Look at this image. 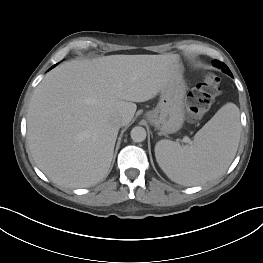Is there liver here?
Segmentation results:
<instances>
[{
	"instance_id": "6515ba94",
	"label": "liver",
	"mask_w": 263,
	"mask_h": 263,
	"mask_svg": "<svg viewBox=\"0 0 263 263\" xmlns=\"http://www.w3.org/2000/svg\"><path fill=\"white\" fill-rule=\"evenodd\" d=\"M176 54L110 55L72 60L36 87L27 114V142L38 168L55 184L82 188L108 173L119 128L137 105L182 78ZM123 125V126H124Z\"/></svg>"
}]
</instances>
